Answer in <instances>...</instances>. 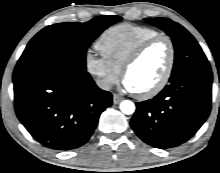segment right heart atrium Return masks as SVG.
Here are the masks:
<instances>
[{
  "instance_id": "right-heart-atrium-1",
  "label": "right heart atrium",
  "mask_w": 220,
  "mask_h": 173,
  "mask_svg": "<svg viewBox=\"0 0 220 173\" xmlns=\"http://www.w3.org/2000/svg\"><path fill=\"white\" fill-rule=\"evenodd\" d=\"M85 68L104 90L111 89L120 79L121 71L104 57H99L91 51L85 55Z\"/></svg>"
}]
</instances>
